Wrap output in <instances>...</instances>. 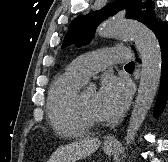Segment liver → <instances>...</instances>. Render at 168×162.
<instances>
[{
	"label": "liver",
	"instance_id": "liver-1",
	"mask_svg": "<svg viewBox=\"0 0 168 162\" xmlns=\"http://www.w3.org/2000/svg\"><path fill=\"white\" fill-rule=\"evenodd\" d=\"M98 138H85L58 148L48 162H76L94 153L100 147Z\"/></svg>",
	"mask_w": 168,
	"mask_h": 162
}]
</instances>
